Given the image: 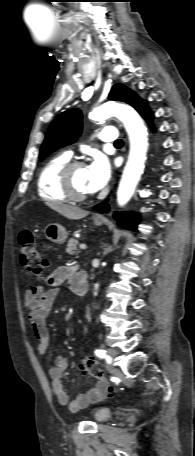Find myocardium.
<instances>
[{
	"mask_svg": "<svg viewBox=\"0 0 195 456\" xmlns=\"http://www.w3.org/2000/svg\"><path fill=\"white\" fill-rule=\"evenodd\" d=\"M85 167L82 161H70L60 173V183L67 198L73 201H84L90 197V193H82L76 190L73 184V173L76 169Z\"/></svg>",
	"mask_w": 195,
	"mask_h": 456,
	"instance_id": "1",
	"label": "myocardium"
}]
</instances>
